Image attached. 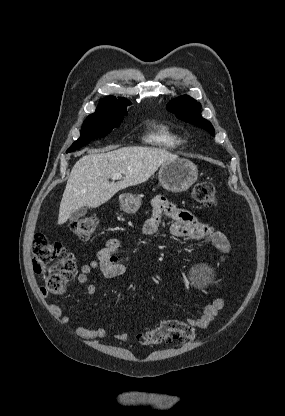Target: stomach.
Wrapping results in <instances>:
<instances>
[{
    "instance_id": "1",
    "label": "stomach",
    "mask_w": 285,
    "mask_h": 416,
    "mask_svg": "<svg viewBox=\"0 0 285 416\" xmlns=\"http://www.w3.org/2000/svg\"><path fill=\"white\" fill-rule=\"evenodd\" d=\"M158 178L164 190L185 192L198 180L197 166L185 158L170 160V162L162 164ZM119 202L126 214H135L141 206L140 196H132V194H122L119 196Z\"/></svg>"
}]
</instances>
